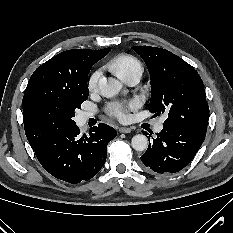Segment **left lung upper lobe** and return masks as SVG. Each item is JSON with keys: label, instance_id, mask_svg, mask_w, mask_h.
<instances>
[{"label": "left lung upper lobe", "instance_id": "5c2ea615", "mask_svg": "<svg viewBox=\"0 0 233 233\" xmlns=\"http://www.w3.org/2000/svg\"><path fill=\"white\" fill-rule=\"evenodd\" d=\"M132 49L142 57L149 70L150 112L168 114L165 125L182 126L206 135L209 107L196 70L165 49L149 46Z\"/></svg>", "mask_w": 233, "mask_h": 233}]
</instances>
